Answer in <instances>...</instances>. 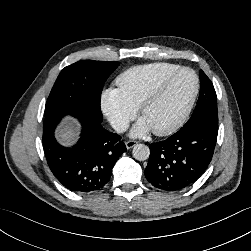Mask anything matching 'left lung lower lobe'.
<instances>
[{
	"label": "left lung lower lobe",
	"mask_w": 251,
	"mask_h": 251,
	"mask_svg": "<svg viewBox=\"0 0 251 251\" xmlns=\"http://www.w3.org/2000/svg\"><path fill=\"white\" fill-rule=\"evenodd\" d=\"M217 135L218 125L203 121L150 144L146 179L164 191H179L192 185L208 167Z\"/></svg>",
	"instance_id": "left-lung-lower-lobe-1"
}]
</instances>
